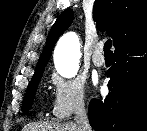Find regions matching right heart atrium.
<instances>
[{
	"mask_svg": "<svg viewBox=\"0 0 147 131\" xmlns=\"http://www.w3.org/2000/svg\"><path fill=\"white\" fill-rule=\"evenodd\" d=\"M54 89L52 114L57 120H67L85 109L86 86L78 78H63L54 73L51 75Z\"/></svg>",
	"mask_w": 147,
	"mask_h": 131,
	"instance_id": "1",
	"label": "right heart atrium"
}]
</instances>
